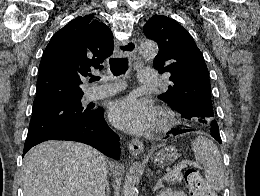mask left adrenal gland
I'll return each mask as SVG.
<instances>
[{
  "label": "left adrenal gland",
  "instance_id": "1",
  "mask_svg": "<svg viewBox=\"0 0 260 196\" xmlns=\"http://www.w3.org/2000/svg\"><path fill=\"white\" fill-rule=\"evenodd\" d=\"M159 188H163L162 186V180H157V184L153 190V192H157V190H159Z\"/></svg>",
  "mask_w": 260,
  "mask_h": 196
}]
</instances>
